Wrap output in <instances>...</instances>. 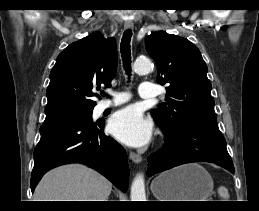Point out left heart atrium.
<instances>
[{"instance_id":"1","label":"left heart atrium","mask_w":259,"mask_h":211,"mask_svg":"<svg viewBox=\"0 0 259 211\" xmlns=\"http://www.w3.org/2000/svg\"><path fill=\"white\" fill-rule=\"evenodd\" d=\"M108 127L117 140L132 147L144 146L152 135V123L135 107L117 111L110 118Z\"/></svg>"}]
</instances>
